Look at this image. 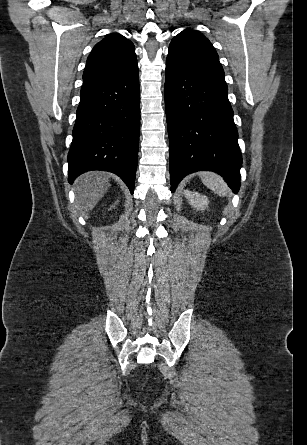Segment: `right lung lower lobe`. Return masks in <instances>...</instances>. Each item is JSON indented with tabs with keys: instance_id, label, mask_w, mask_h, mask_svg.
<instances>
[{
	"instance_id": "obj_1",
	"label": "right lung lower lobe",
	"mask_w": 307,
	"mask_h": 445,
	"mask_svg": "<svg viewBox=\"0 0 307 445\" xmlns=\"http://www.w3.org/2000/svg\"><path fill=\"white\" fill-rule=\"evenodd\" d=\"M76 114L69 182L86 171L104 170L117 174L133 194L140 129L138 66L83 84Z\"/></svg>"
}]
</instances>
